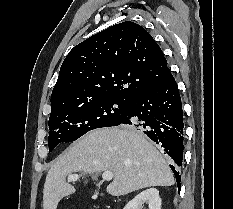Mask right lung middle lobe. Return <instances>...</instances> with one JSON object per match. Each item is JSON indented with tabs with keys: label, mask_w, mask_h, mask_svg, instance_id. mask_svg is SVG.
Wrapping results in <instances>:
<instances>
[{
	"label": "right lung middle lobe",
	"mask_w": 233,
	"mask_h": 209,
	"mask_svg": "<svg viewBox=\"0 0 233 209\" xmlns=\"http://www.w3.org/2000/svg\"><path fill=\"white\" fill-rule=\"evenodd\" d=\"M129 104V100L109 98L69 111L51 113L49 152L61 142H72L90 130L121 122L127 114Z\"/></svg>",
	"instance_id": "1"
}]
</instances>
